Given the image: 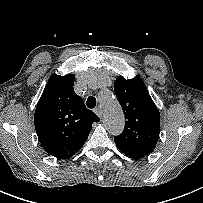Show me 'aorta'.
Returning a JSON list of instances; mask_svg holds the SVG:
<instances>
[{"instance_id": "aorta-1", "label": "aorta", "mask_w": 203, "mask_h": 203, "mask_svg": "<svg viewBox=\"0 0 203 203\" xmlns=\"http://www.w3.org/2000/svg\"><path fill=\"white\" fill-rule=\"evenodd\" d=\"M99 102L102 110V118L107 131L112 135H119L125 125V118L120 104L109 90L99 93Z\"/></svg>"}]
</instances>
